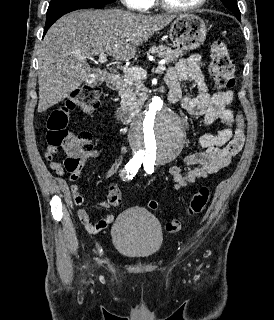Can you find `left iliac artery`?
Masks as SVG:
<instances>
[{
    "instance_id": "left-iliac-artery-1",
    "label": "left iliac artery",
    "mask_w": 274,
    "mask_h": 320,
    "mask_svg": "<svg viewBox=\"0 0 274 320\" xmlns=\"http://www.w3.org/2000/svg\"><path fill=\"white\" fill-rule=\"evenodd\" d=\"M144 170L148 174H152L154 172V163L148 160L144 161Z\"/></svg>"
}]
</instances>
